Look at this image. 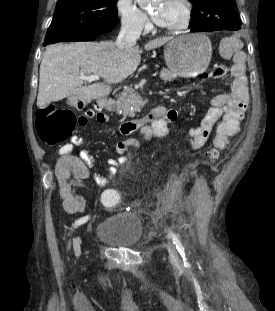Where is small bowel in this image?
<instances>
[{
  "label": "small bowel",
  "instance_id": "1",
  "mask_svg": "<svg viewBox=\"0 0 275 311\" xmlns=\"http://www.w3.org/2000/svg\"><path fill=\"white\" fill-rule=\"evenodd\" d=\"M242 43L236 37L226 38L222 41L221 50L219 51L220 57H232L233 66L231 69V87L228 91L217 94L210 100L209 109L202 119L201 123L191 128V146L197 148L203 145L212 133L214 126L219 124L220 118H240L241 121L244 118V113L248 107L249 93L247 86L246 76V56L241 51ZM75 104L77 107L81 105ZM85 115L88 119H95L98 123H104L107 120V116L103 113L97 112L93 109L85 111ZM177 111L172 108L164 107V110H154L150 113V119L147 124L141 129L146 140L153 138H165L169 135L170 126L177 119ZM225 130H219L222 133ZM231 135L236 134L239 130H229ZM72 144L74 146H85L86 140L81 136H74L72 138ZM140 142L136 138H128L117 142L115 150L117 157L110 158L108 160V167L106 173L103 176L96 175L95 180L101 187H106L109 181L117 173V168L120 165H124L128 162L125 153L129 147L138 148ZM70 148V145H68ZM66 147L61 148L57 157L58 169L55 170L57 180L60 182V192L63 198V206L61 208L62 213H72L76 215L78 212H82L85 208V201L81 197H77L71 186L70 180H85L88 176L86 167H91L94 163L93 157L86 149L80 151V158L78 160L77 155H71L68 151L65 152ZM67 154V155H64ZM86 166V167H85ZM71 171V173H68Z\"/></svg>",
  "mask_w": 275,
  "mask_h": 311
}]
</instances>
